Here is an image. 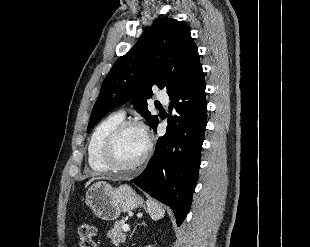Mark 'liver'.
Wrapping results in <instances>:
<instances>
[{"instance_id": "liver-1", "label": "liver", "mask_w": 310, "mask_h": 247, "mask_svg": "<svg viewBox=\"0 0 310 247\" xmlns=\"http://www.w3.org/2000/svg\"><path fill=\"white\" fill-rule=\"evenodd\" d=\"M93 180H95V178L90 179V180L86 183V186H87L88 184H90Z\"/></svg>"}]
</instances>
